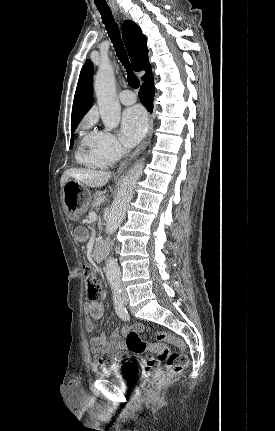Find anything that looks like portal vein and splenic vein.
<instances>
[{
	"mask_svg": "<svg viewBox=\"0 0 275 431\" xmlns=\"http://www.w3.org/2000/svg\"><path fill=\"white\" fill-rule=\"evenodd\" d=\"M89 219L95 221L97 219V214L95 212H90Z\"/></svg>",
	"mask_w": 275,
	"mask_h": 431,
	"instance_id": "18ae733b",
	"label": "portal vein and splenic vein"
}]
</instances>
